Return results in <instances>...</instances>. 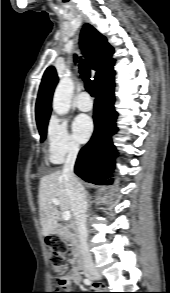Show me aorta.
I'll return each instance as SVG.
<instances>
[{"label": "aorta", "instance_id": "1", "mask_svg": "<svg viewBox=\"0 0 170 293\" xmlns=\"http://www.w3.org/2000/svg\"><path fill=\"white\" fill-rule=\"evenodd\" d=\"M73 90L74 83L71 78L64 77L60 80L59 84L55 89L52 101L53 110L58 115H64L68 113V111L70 110V103Z\"/></svg>", "mask_w": 170, "mask_h": 293}]
</instances>
